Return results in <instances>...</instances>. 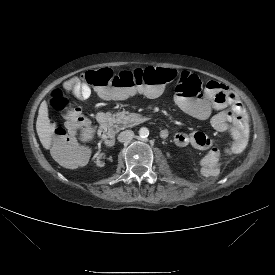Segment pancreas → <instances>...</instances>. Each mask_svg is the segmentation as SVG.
<instances>
[{
	"mask_svg": "<svg viewBox=\"0 0 275 275\" xmlns=\"http://www.w3.org/2000/svg\"><path fill=\"white\" fill-rule=\"evenodd\" d=\"M114 117V127L117 130H122L128 127H133L140 123L141 115L136 113H130L128 111L117 112L113 115Z\"/></svg>",
	"mask_w": 275,
	"mask_h": 275,
	"instance_id": "cf45deb5",
	"label": "pancreas"
}]
</instances>
